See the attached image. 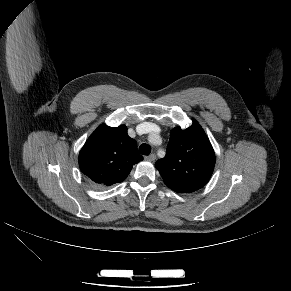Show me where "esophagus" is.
I'll return each mask as SVG.
<instances>
[{
    "instance_id": "1",
    "label": "esophagus",
    "mask_w": 291,
    "mask_h": 291,
    "mask_svg": "<svg viewBox=\"0 0 291 291\" xmlns=\"http://www.w3.org/2000/svg\"><path fill=\"white\" fill-rule=\"evenodd\" d=\"M156 159V155L155 154H150L149 156H146L145 157V160H148V161H155Z\"/></svg>"
}]
</instances>
